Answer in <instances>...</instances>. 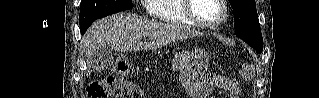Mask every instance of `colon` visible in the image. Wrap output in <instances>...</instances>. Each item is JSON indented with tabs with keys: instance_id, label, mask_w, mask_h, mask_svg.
Returning a JSON list of instances; mask_svg holds the SVG:
<instances>
[{
	"instance_id": "1",
	"label": "colon",
	"mask_w": 319,
	"mask_h": 98,
	"mask_svg": "<svg viewBox=\"0 0 319 98\" xmlns=\"http://www.w3.org/2000/svg\"><path fill=\"white\" fill-rule=\"evenodd\" d=\"M246 70V67L244 68ZM130 65L124 58H119L115 65V74L92 81L87 87L88 98H142V93L128 86L124 77L129 73Z\"/></svg>"
}]
</instances>
